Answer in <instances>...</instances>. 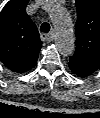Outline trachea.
Here are the masks:
<instances>
[{
    "label": "trachea",
    "mask_w": 100,
    "mask_h": 118,
    "mask_svg": "<svg viewBox=\"0 0 100 118\" xmlns=\"http://www.w3.org/2000/svg\"><path fill=\"white\" fill-rule=\"evenodd\" d=\"M50 25L48 24V23H43L42 25H41V27H40V31L42 32V33H49V31H50Z\"/></svg>",
    "instance_id": "obj_1"
}]
</instances>
